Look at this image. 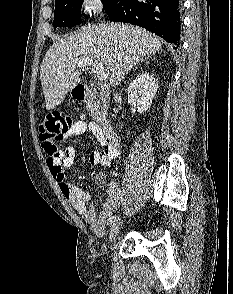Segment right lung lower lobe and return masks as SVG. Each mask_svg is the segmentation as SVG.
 <instances>
[{
  "label": "right lung lower lobe",
  "instance_id": "obj_1",
  "mask_svg": "<svg viewBox=\"0 0 233 294\" xmlns=\"http://www.w3.org/2000/svg\"><path fill=\"white\" fill-rule=\"evenodd\" d=\"M107 15L111 21L138 25L180 44L179 0H116Z\"/></svg>",
  "mask_w": 233,
  "mask_h": 294
}]
</instances>
